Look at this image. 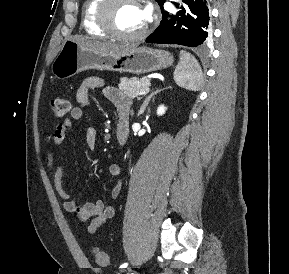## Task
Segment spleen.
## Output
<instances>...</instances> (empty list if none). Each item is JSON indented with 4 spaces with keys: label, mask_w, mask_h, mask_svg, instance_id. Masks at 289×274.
<instances>
[{
    "label": "spleen",
    "mask_w": 289,
    "mask_h": 274,
    "mask_svg": "<svg viewBox=\"0 0 289 274\" xmlns=\"http://www.w3.org/2000/svg\"><path fill=\"white\" fill-rule=\"evenodd\" d=\"M174 81L182 88L198 91L202 85V70L196 58L186 51L180 52V60L174 71Z\"/></svg>",
    "instance_id": "spleen-1"
}]
</instances>
